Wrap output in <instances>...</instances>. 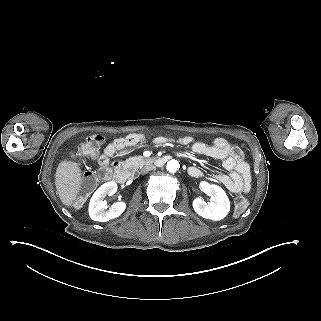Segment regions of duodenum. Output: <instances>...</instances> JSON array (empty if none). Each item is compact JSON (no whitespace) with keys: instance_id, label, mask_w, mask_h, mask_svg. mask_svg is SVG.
I'll return each instance as SVG.
<instances>
[{"instance_id":"410a0bca","label":"duodenum","mask_w":321,"mask_h":321,"mask_svg":"<svg viewBox=\"0 0 321 321\" xmlns=\"http://www.w3.org/2000/svg\"><path fill=\"white\" fill-rule=\"evenodd\" d=\"M170 160L169 156H162L155 160L154 164L158 167L163 166ZM130 177V172L121 164L115 163L112 168V178L118 183L126 182Z\"/></svg>"}]
</instances>
